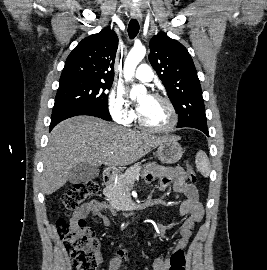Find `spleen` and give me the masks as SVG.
Here are the masks:
<instances>
[{
    "label": "spleen",
    "instance_id": "3e777b00",
    "mask_svg": "<svg viewBox=\"0 0 267 270\" xmlns=\"http://www.w3.org/2000/svg\"><path fill=\"white\" fill-rule=\"evenodd\" d=\"M195 163L198 171L204 176L208 177L210 174V163L206 153L202 150L197 152Z\"/></svg>",
    "mask_w": 267,
    "mask_h": 270
}]
</instances>
